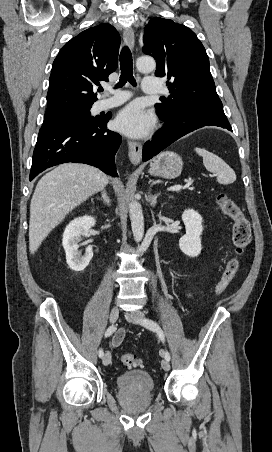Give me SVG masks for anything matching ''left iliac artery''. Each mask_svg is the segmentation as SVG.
I'll return each mask as SVG.
<instances>
[{
  "label": "left iliac artery",
  "instance_id": "left-iliac-artery-1",
  "mask_svg": "<svg viewBox=\"0 0 272 452\" xmlns=\"http://www.w3.org/2000/svg\"><path fill=\"white\" fill-rule=\"evenodd\" d=\"M141 324L143 326H145L146 328L156 332L158 334L159 338L164 342V340H165L164 333H163L162 329L160 328V326L156 322H154L151 319H142L141 320ZM164 357H165L166 360L170 361L171 357H170V354H169L168 351H166L164 353Z\"/></svg>",
  "mask_w": 272,
  "mask_h": 452
}]
</instances>
